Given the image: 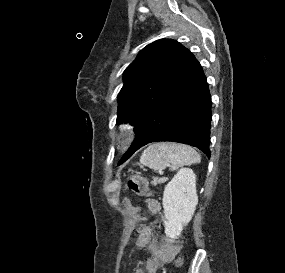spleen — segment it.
Segmentation results:
<instances>
[{"label":"spleen","instance_id":"1","mask_svg":"<svg viewBox=\"0 0 285 273\" xmlns=\"http://www.w3.org/2000/svg\"><path fill=\"white\" fill-rule=\"evenodd\" d=\"M140 162L155 171H161L166 167L175 171L183 166L200 163L201 157L188 145L161 142L146 148Z\"/></svg>","mask_w":285,"mask_h":273}]
</instances>
